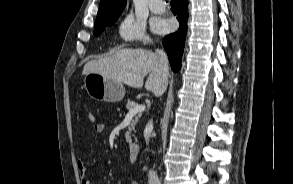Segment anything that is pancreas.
<instances>
[{
    "instance_id": "cf45deb5",
    "label": "pancreas",
    "mask_w": 293,
    "mask_h": 184,
    "mask_svg": "<svg viewBox=\"0 0 293 184\" xmlns=\"http://www.w3.org/2000/svg\"><path fill=\"white\" fill-rule=\"evenodd\" d=\"M138 104L135 101H128L126 104V108L130 111L131 109H133L134 107H136ZM138 118L139 117H135V119L131 122V125L128 127V131L125 135L126 141L128 143H131V136L130 133L132 130H135V125L138 122Z\"/></svg>"
}]
</instances>
